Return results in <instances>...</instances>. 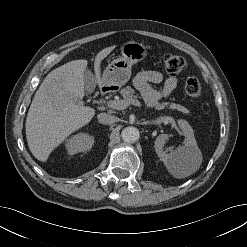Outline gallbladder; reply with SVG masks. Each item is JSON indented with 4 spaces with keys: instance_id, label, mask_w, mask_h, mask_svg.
Instances as JSON below:
<instances>
[{
    "instance_id": "1",
    "label": "gallbladder",
    "mask_w": 247,
    "mask_h": 247,
    "mask_svg": "<svg viewBox=\"0 0 247 247\" xmlns=\"http://www.w3.org/2000/svg\"><path fill=\"white\" fill-rule=\"evenodd\" d=\"M85 82H86V89L88 91L94 88V78L90 71L85 72Z\"/></svg>"
}]
</instances>
